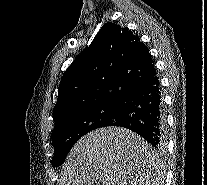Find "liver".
<instances>
[{
	"instance_id": "liver-1",
	"label": "liver",
	"mask_w": 207,
	"mask_h": 185,
	"mask_svg": "<svg viewBox=\"0 0 207 185\" xmlns=\"http://www.w3.org/2000/svg\"><path fill=\"white\" fill-rule=\"evenodd\" d=\"M155 151L124 127H102L81 137L64 165L61 185H152Z\"/></svg>"
}]
</instances>
